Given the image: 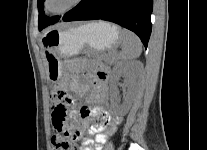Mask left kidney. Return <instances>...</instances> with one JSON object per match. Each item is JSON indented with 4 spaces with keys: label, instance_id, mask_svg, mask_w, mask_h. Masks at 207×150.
Listing matches in <instances>:
<instances>
[{
    "label": "left kidney",
    "instance_id": "1",
    "mask_svg": "<svg viewBox=\"0 0 207 150\" xmlns=\"http://www.w3.org/2000/svg\"><path fill=\"white\" fill-rule=\"evenodd\" d=\"M139 72L138 62H118L113 68L110 80V101L113 111L119 116L126 115L131 108L136 94V89L133 84ZM121 76L127 78L126 84L128 87V91L122 103H120L119 91L117 88V82Z\"/></svg>",
    "mask_w": 207,
    "mask_h": 150
}]
</instances>
